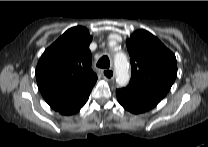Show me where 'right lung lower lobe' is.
<instances>
[{
  "label": "right lung lower lobe",
  "instance_id": "obj_1",
  "mask_svg": "<svg viewBox=\"0 0 208 147\" xmlns=\"http://www.w3.org/2000/svg\"><path fill=\"white\" fill-rule=\"evenodd\" d=\"M88 98H86L84 101H82L81 103H79L78 105H76L74 107L60 111V113L63 115H71V114L78 112L83 107V105L86 103Z\"/></svg>",
  "mask_w": 208,
  "mask_h": 147
}]
</instances>
